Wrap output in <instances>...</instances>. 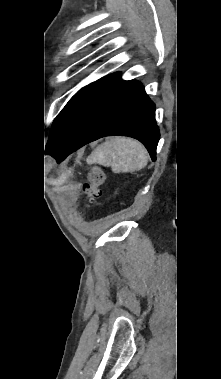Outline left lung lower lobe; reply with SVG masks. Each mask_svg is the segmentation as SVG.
I'll list each match as a JSON object with an SVG mask.
<instances>
[{"label":"left lung lower lobe","instance_id":"obj_1","mask_svg":"<svg viewBox=\"0 0 221 379\" xmlns=\"http://www.w3.org/2000/svg\"><path fill=\"white\" fill-rule=\"evenodd\" d=\"M110 135L138 139L148 149L152 160H156L160 134L155 123V105L139 82L123 81L118 77L52 156L61 162L83 145Z\"/></svg>","mask_w":221,"mask_h":379}]
</instances>
